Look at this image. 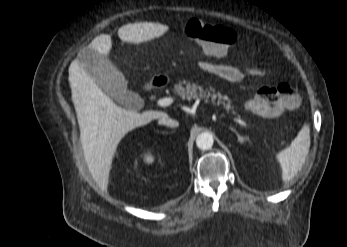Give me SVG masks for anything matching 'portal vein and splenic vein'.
Here are the masks:
<instances>
[{"label": "portal vein and splenic vein", "mask_w": 347, "mask_h": 247, "mask_svg": "<svg viewBox=\"0 0 347 247\" xmlns=\"http://www.w3.org/2000/svg\"><path fill=\"white\" fill-rule=\"evenodd\" d=\"M174 102L173 97H165L161 98L157 101V104L161 107H167L170 106ZM239 124L244 127H249V124L243 120H239Z\"/></svg>", "instance_id": "1"}]
</instances>
